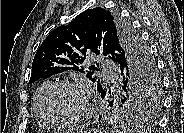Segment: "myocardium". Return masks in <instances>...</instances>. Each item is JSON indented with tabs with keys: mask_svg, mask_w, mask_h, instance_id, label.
Here are the masks:
<instances>
[{
	"mask_svg": "<svg viewBox=\"0 0 184 133\" xmlns=\"http://www.w3.org/2000/svg\"><path fill=\"white\" fill-rule=\"evenodd\" d=\"M59 87H72L77 89L83 96L84 108L83 110L74 118L71 119H59L52 115L48 107V100L51 93L59 88ZM42 111L46 117V119L54 125L59 126H75L83 123L86 119L89 118L92 112L91 100H90V92L88 87L77 80H60L53 82L44 92L42 100H41Z\"/></svg>",
	"mask_w": 184,
	"mask_h": 133,
	"instance_id": "myocardium-1",
	"label": "myocardium"
}]
</instances>
